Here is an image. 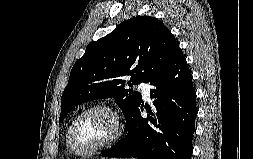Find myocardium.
I'll list each match as a JSON object with an SVG mask.
<instances>
[{"label": "myocardium", "mask_w": 253, "mask_h": 159, "mask_svg": "<svg viewBox=\"0 0 253 159\" xmlns=\"http://www.w3.org/2000/svg\"><path fill=\"white\" fill-rule=\"evenodd\" d=\"M105 111L108 114L111 115V117L113 118L114 121V125H115V131L114 134L112 135L111 138H109L106 142L92 148L89 149L87 151H79L78 149L75 148L74 144H73V134H74V130L75 127L78 123V121L87 113L91 112V111ZM125 130V125L123 122V118L120 115V113L117 111V109H115L114 107L108 105V104H96V105H92L84 110H82L72 121V123L70 124V127L68 129L67 132V146L70 149L71 152H73L74 154L78 155V156H89L92 155L98 151H101L103 149H106L112 145H114L116 142H118Z\"/></svg>", "instance_id": "obj_1"}]
</instances>
